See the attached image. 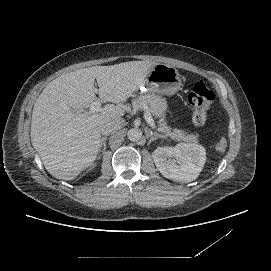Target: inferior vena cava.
I'll use <instances>...</instances> for the list:
<instances>
[{
    "instance_id": "1",
    "label": "inferior vena cava",
    "mask_w": 271,
    "mask_h": 271,
    "mask_svg": "<svg viewBox=\"0 0 271 271\" xmlns=\"http://www.w3.org/2000/svg\"><path fill=\"white\" fill-rule=\"evenodd\" d=\"M121 125L120 121L107 122L100 126V134L109 135L110 133L120 129Z\"/></svg>"
}]
</instances>
